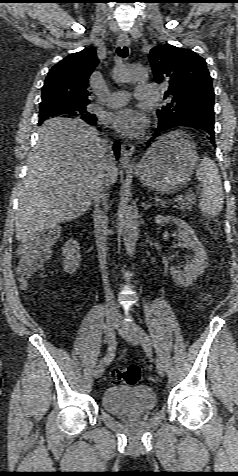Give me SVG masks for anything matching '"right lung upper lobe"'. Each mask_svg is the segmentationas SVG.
<instances>
[{"label":"right lung upper lobe","instance_id":"right-lung-upper-lobe-1","mask_svg":"<svg viewBox=\"0 0 238 476\" xmlns=\"http://www.w3.org/2000/svg\"><path fill=\"white\" fill-rule=\"evenodd\" d=\"M98 62L96 51L92 48L65 57L49 71L42 88V102L87 105L89 77Z\"/></svg>","mask_w":238,"mask_h":476}]
</instances>
